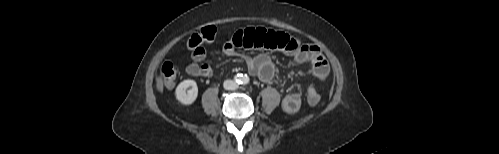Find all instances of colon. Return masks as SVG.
Segmentation results:
<instances>
[{
	"instance_id": "colon-1",
	"label": "colon",
	"mask_w": 499,
	"mask_h": 154,
	"mask_svg": "<svg viewBox=\"0 0 499 154\" xmlns=\"http://www.w3.org/2000/svg\"><path fill=\"white\" fill-rule=\"evenodd\" d=\"M216 29L212 26L203 28L199 33L192 34L187 41L190 49L199 48L204 41L212 40L215 37ZM177 77V70L173 63L165 62L159 71V80L166 87L170 88L174 85ZM307 101L310 105L315 106L320 102L321 96L317 89L309 86L306 91Z\"/></svg>"
}]
</instances>
